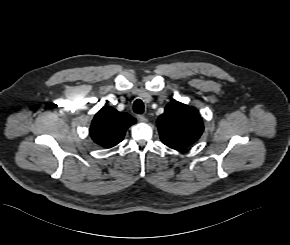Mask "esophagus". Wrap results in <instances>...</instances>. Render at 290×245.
I'll return each instance as SVG.
<instances>
[{
	"mask_svg": "<svg viewBox=\"0 0 290 245\" xmlns=\"http://www.w3.org/2000/svg\"><path fill=\"white\" fill-rule=\"evenodd\" d=\"M137 119H138L140 122H142V123L147 122V118H146L145 116H143V115H138V116H137Z\"/></svg>",
	"mask_w": 290,
	"mask_h": 245,
	"instance_id": "34e87169",
	"label": "esophagus"
}]
</instances>
